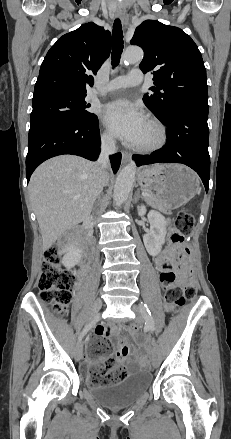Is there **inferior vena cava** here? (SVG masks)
Segmentation results:
<instances>
[{
    "label": "inferior vena cava",
    "instance_id": "inferior-vena-cava-1",
    "mask_svg": "<svg viewBox=\"0 0 231 439\" xmlns=\"http://www.w3.org/2000/svg\"><path fill=\"white\" fill-rule=\"evenodd\" d=\"M116 152L115 140L112 137L104 136L101 143V153L96 162V167L99 170L101 181L106 185L109 178V155Z\"/></svg>",
    "mask_w": 231,
    "mask_h": 439
}]
</instances>
